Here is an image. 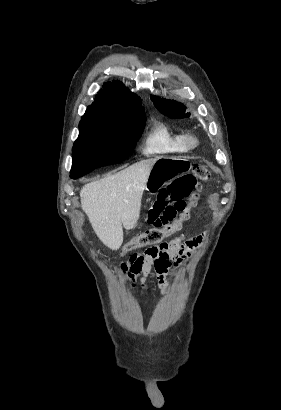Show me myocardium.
I'll list each match as a JSON object with an SVG mask.
<instances>
[{
    "label": "myocardium",
    "mask_w": 281,
    "mask_h": 410,
    "mask_svg": "<svg viewBox=\"0 0 281 410\" xmlns=\"http://www.w3.org/2000/svg\"><path fill=\"white\" fill-rule=\"evenodd\" d=\"M184 142L187 149H194L199 145V138L193 133H186Z\"/></svg>",
    "instance_id": "myocardium-1"
}]
</instances>
